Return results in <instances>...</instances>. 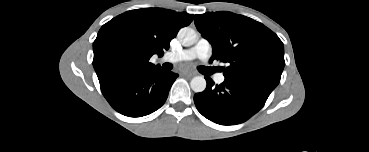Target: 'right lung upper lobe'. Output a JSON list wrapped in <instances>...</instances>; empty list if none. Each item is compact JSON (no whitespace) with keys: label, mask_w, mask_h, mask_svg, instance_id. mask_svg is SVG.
I'll list each match as a JSON object with an SVG mask.
<instances>
[{"label":"right lung upper lobe","mask_w":369,"mask_h":152,"mask_svg":"<svg viewBox=\"0 0 369 152\" xmlns=\"http://www.w3.org/2000/svg\"><path fill=\"white\" fill-rule=\"evenodd\" d=\"M194 15L162 8L127 11L106 24L93 43V66L100 87L132 73L161 68L149 62L162 56L180 28L189 25Z\"/></svg>","instance_id":"1"}]
</instances>
